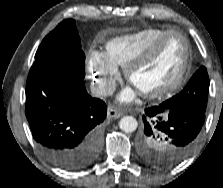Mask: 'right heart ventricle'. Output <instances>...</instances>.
Segmentation results:
<instances>
[{"label":"right heart ventricle","mask_w":223,"mask_h":188,"mask_svg":"<svg viewBox=\"0 0 223 188\" xmlns=\"http://www.w3.org/2000/svg\"><path fill=\"white\" fill-rule=\"evenodd\" d=\"M168 29L147 28L135 33L114 37L105 43L104 54L117 68H126L151 42Z\"/></svg>","instance_id":"e07e8e85"}]
</instances>
